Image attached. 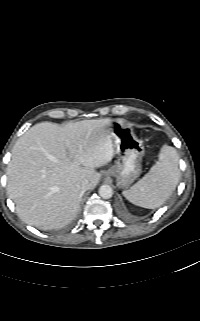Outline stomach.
<instances>
[{
    "label": "stomach",
    "instance_id": "1",
    "mask_svg": "<svg viewBox=\"0 0 200 321\" xmlns=\"http://www.w3.org/2000/svg\"><path fill=\"white\" fill-rule=\"evenodd\" d=\"M110 133L115 142L118 160L105 175L115 177L119 188H128L141 174L144 145L131 126L120 120L111 121Z\"/></svg>",
    "mask_w": 200,
    "mask_h": 321
}]
</instances>
